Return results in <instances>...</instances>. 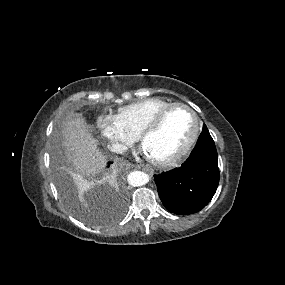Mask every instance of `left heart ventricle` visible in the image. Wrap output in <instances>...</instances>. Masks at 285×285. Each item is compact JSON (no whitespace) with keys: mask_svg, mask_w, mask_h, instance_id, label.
Masks as SVG:
<instances>
[{"mask_svg":"<svg viewBox=\"0 0 285 285\" xmlns=\"http://www.w3.org/2000/svg\"><path fill=\"white\" fill-rule=\"evenodd\" d=\"M194 131V121L184 109L173 110L161 126L148 134L143 146L152 159L166 160L184 148Z\"/></svg>","mask_w":285,"mask_h":285,"instance_id":"b2bd125f","label":"left heart ventricle"}]
</instances>
